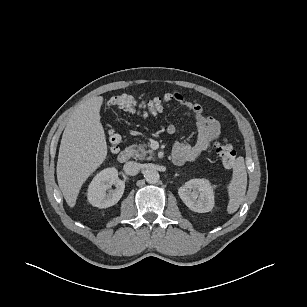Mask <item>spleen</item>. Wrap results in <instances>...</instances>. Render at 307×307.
<instances>
[{
  "label": "spleen",
  "mask_w": 307,
  "mask_h": 307,
  "mask_svg": "<svg viewBox=\"0 0 307 307\" xmlns=\"http://www.w3.org/2000/svg\"><path fill=\"white\" fill-rule=\"evenodd\" d=\"M247 187V173L243 157H238L233 167V176L227 186L229 203L227 212L232 214L236 212L243 202Z\"/></svg>",
  "instance_id": "3e777b00"
}]
</instances>
